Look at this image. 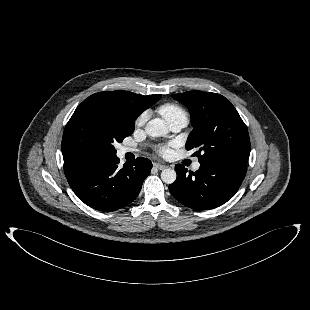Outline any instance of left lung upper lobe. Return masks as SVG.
<instances>
[{
  "label": "left lung upper lobe",
  "instance_id": "left-lung-upper-lobe-1",
  "mask_svg": "<svg viewBox=\"0 0 310 310\" xmlns=\"http://www.w3.org/2000/svg\"><path fill=\"white\" fill-rule=\"evenodd\" d=\"M190 112L193 131L186 149L200 164L227 162L246 167L250 140L246 125L224 96L211 92L189 91L171 95Z\"/></svg>",
  "mask_w": 310,
  "mask_h": 310
}]
</instances>
